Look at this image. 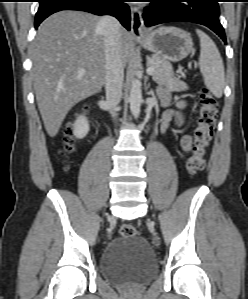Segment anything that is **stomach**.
Masks as SVG:
<instances>
[{
    "mask_svg": "<svg viewBox=\"0 0 248 299\" xmlns=\"http://www.w3.org/2000/svg\"><path fill=\"white\" fill-rule=\"evenodd\" d=\"M139 41L147 50L167 61H181L193 50L190 34L177 27H159Z\"/></svg>",
    "mask_w": 248,
    "mask_h": 299,
    "instance_id": "1",
    "label": "stomach"
}]
</instances>
